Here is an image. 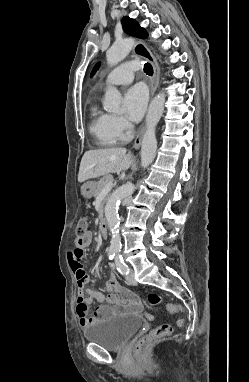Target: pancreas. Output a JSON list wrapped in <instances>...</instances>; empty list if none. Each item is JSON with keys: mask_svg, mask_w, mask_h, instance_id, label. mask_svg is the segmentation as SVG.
<instances>
[{"mask_svg": "<svg viewBox=\"0 0 249 382\" xmlns=\"http://www.w3.org/2000/svg\"><path fill=\"white\" fill-rule=\"evenodd\" d=\"M112 181H113L112 175H110V174L104 175L96 185L95 195H98L99 193H101V191L104 189L106 184L108 182H112ZM108 197H109V195L106 196L105 201L108 199ZM102 215H103V209L101 207L99 210V217L101 218Z\"/></svg>", "mask_w": 249, "mask_h": 382, "instance_id": "pancreas-1", "label": "pancreas"}]
</instances>
